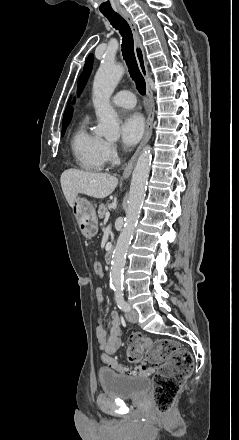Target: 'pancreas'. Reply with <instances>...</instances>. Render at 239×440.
I'll return each mask as SVG.
<instances>
[{
    "label": "pancreas",
    "mask_w": 239,
    "mask_h": 440,
    "mask_svg": "<svg viewBox=\"0 0 239 440\" xmlns=\"http://www.w3.org/2000/svg\"><path fill=\"white\" fill-rule=\"evenodd\" d=\"M106 212H108L107 206H105V204H100L98 208V218H100V220H102V218H105Z\"/></svg>",
    "instance_id": "cf45deb5"
}]
</instances>
